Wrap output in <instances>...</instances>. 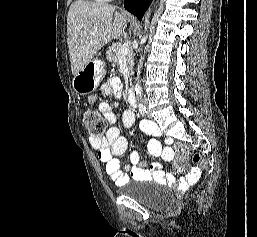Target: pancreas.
Instances as JSON below:
<instances>
[{
    "label": "pancreas",
    "mask_w": 257,
    "mask_h": 237,
    "mask_svg": "<svg viewBox=\"0 0 257 237\" xmlns=\"http://www.w3.org/2000/svg\"><path fill=\"white\" fill-rule=\"evenodd\" d=\"M121 44L120 43H112V45L109 46L107 50V58L109 61L118 62L120 59V55H118V50L120 49ZM126 63H127V75L129 77V81L131 82V76L133 74V67H134V61H133V52L132 50H129L128 53L125 55Z\"/></svg>",
    "instance_id": "pancreas-1"
}]
</instances>
